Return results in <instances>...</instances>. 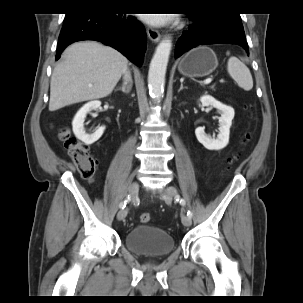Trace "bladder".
I'll use <instances>...</instances> for the list:
<instances>
[{
  "instance_id": "bladder-1",
  "label": "bladder",
  "mask_w": 303,
  "mask_h": 303,
  "mask_svg": "<svg viewBox=\"0 0 303 303\" xmlns=\"http://www.w3.org/2000/svg\"><path fill=\"white\" fill-rule=\"evenodd\" d=\"M124 242L129 251L142 257H163L175 250V241L170 233L152 225L131 228Z\"/></svg>"
}]
</instances>
